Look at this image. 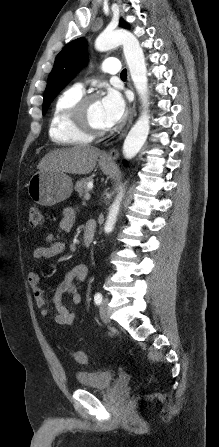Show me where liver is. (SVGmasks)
Returning <instances> with one entry per match:
<instances>
[{"instance_id":"6515ba94","label":"liver","mask_w":219,"mask_h":447,"mask_svg":"<svg viewBox=\"0 0 219 447\" xmlns=\"http://www.w3.org/2000/svg\"><path fill=\"white\" fill-rule=\"evenodd\" d=\"M100 155V149L89 146L56 149L47 153L37 168L70 174H88L94 169Z\"/></svg>"}]
</instances>
